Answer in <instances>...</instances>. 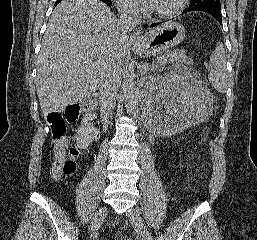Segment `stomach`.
Instances as JSON below:
<instances>
[{
    "label": "stomach",
    "instance_id": "0dacf381",
    "mask_svg": "<svg viewBox=\"0 0 257 240\" xmlns=\"http://www.w3.org/2000/svg\"><path fill=\"white\" fill-rule=\"evenodd\" d=\"M184 37V26L178 22L169 21L152 29L143 43L134 44L133 49L144 56L162 53L178 45Z\"/></svg>",
    "mask_w": 257,
    "mask_h": 240
}]
</instances>
